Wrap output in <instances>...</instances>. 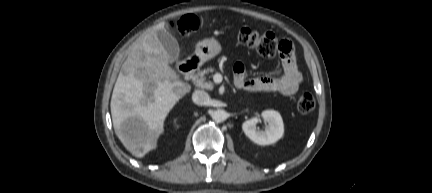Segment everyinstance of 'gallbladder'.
<instances>
[{"label":"gallbladder","instance_id":"1","mask_svg":"<svg viewBox=\"0 0 432 193\" xmlns=\"http://www.w3.org/2000/svg\"><path fill=\"white\" fill-rule=\"evenodd\" d=\"M158 40L166 50L169 56V62L173 63L179 58V44L175 37H173L165 29L158 30L156 32Z\"/></svg>","mask_w":432,"mask_h":193}]
</instances>
